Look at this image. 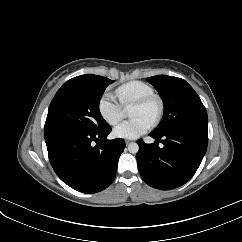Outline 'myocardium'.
<instances>
[{
	"label": "myocardium",
	"mask_w": 242,
	"mask_h": 242,
	"mask_svg": "<svg viewBox=\"0 0 242 242\" xmlns=\"http://www.w3.org/2000/svg\"><path fill=\"white\" fill-rule=\"evenodd\" d=\"M149 105H154L155 107V115L151 125L156 126L160 122L163 115V101L159 96L152 94L141 98L132 104V106L136 107H147Z\"/></svg>",
	"instance_id": "f54148a6"
}]
</instances>
